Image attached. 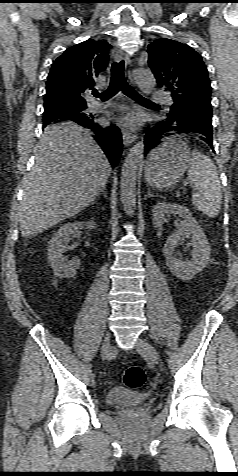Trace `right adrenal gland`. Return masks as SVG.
<instances>
[{
	"label": "right adrenal gland",
	"mask_w": 238,
	"mask_h": 476,
	"mask_svg": "<svg viewBox=\"0 0 238 476\" xmlns=\"http://www.w3.org/2000/svg\"><path fill=\"white\" fill-rule=\"evenodd\" d=\"M105 190H106V187H103L101 192L97 195V197L94 199L93 203H95V201L97 200L98 197H100V195H103L104 197H107L106 196V193H105Z\"/></svg>",
	"instance_id": "obj_1"
}]
</instances>
